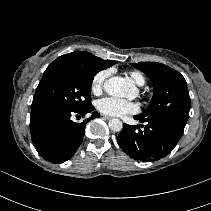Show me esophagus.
<instances>
[{
  "label": "esophagus",
  "instance_id": "obj_1",
  "mask_svg": "<svg viewBox=\"0 0 211 211\" xmlns=\"http://www.w3.org/2000/svg\"><path fill=\"white\" fill-rule=\"evenodd\" d=\"M101 117L103 118V119H110L111 117L110 116H107V115H101Z\"/></svg>",
  "mask_w": 211,
  "mask_h": 211
}]
</instances>
